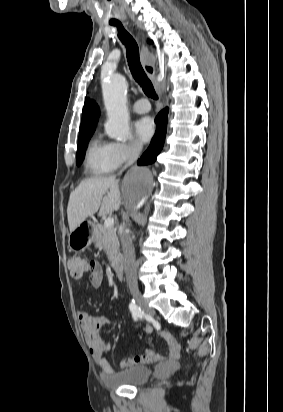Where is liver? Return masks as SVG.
<instances>
[{
    "mask_svg": "<svg viewBox=\"0 0 283 412\" xmlns=\"http://www.w3.org/2000/svg\"><path fill=\"white\" fill-rule=\"evenodd\" d=\"M120 205L119 185L114 176L83 180L69 197L67 217L70 232L95 213L105 216L117 211Z\"/></svg>",
    "mask_w": 283,
    "mask_h": 412,
    "instance_id": "1",
    "label": "liver"
}]
</instances>
